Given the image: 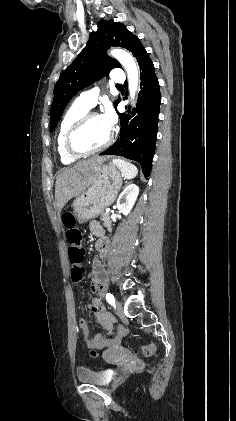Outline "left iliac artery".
<instances>
[{
    "label": "left iliac artery",
    "mask_w": 236,
    "mask_h": 421,
    "mask_svg": "<svg viewBox=\"0 0 236 421\" xmlns=\"http://www.w3.org/2000/svg\"><path fill=\"white\" fill-rule=\"evenodd\" d=\"M106 300L109 304L115 306V298L111 293L106 294Z\"/></svg>",
    "instance_id": "1"
}]
</instances>
